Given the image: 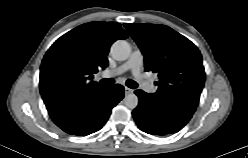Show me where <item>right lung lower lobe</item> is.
Masks as SVG:
<instances>
[{"label":"right lung lower lobe","instance_id":"right-lung-lower-lobe-1","mask_svg":"<svg viewBox=\"0 0 248 158\" xmlns=\"http://www.w3.org/2000/svg\"><path fill=\"white\" fill-rule=\"evenodd\" d=\"M124 97V87H101L87 96L48 110L53 122L72 135H89L102 128L111 110Z\"/></svg>","mask_w":248,"mask_h":158}]
</instances>
